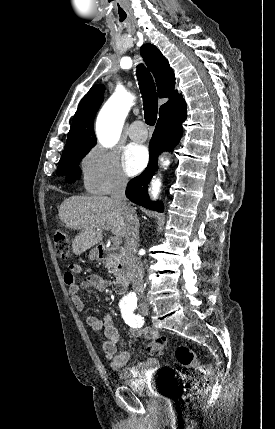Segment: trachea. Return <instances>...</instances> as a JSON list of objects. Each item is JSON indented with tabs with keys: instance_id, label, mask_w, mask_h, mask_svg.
Instances as JSON below:
<instances>
[{
	"instance_id": "1",
	"label": "trachea",
	"mask_w": 275,
	"mask_h": 429,
	"mask_svg": "<svg viewBox=\"0 0 275 429\" xmlns=\"http://www.w3.org/2000/svg\"><path fill=\"white\" fill-rule=\"evenodd\" d=\"M136 76L143 98L145 121L148 125L153 126L156 123L158 108L155 83L150 72L142 64L137 66Z\"/></svg>"
}]
</instances>
